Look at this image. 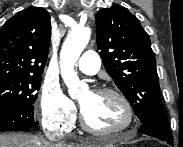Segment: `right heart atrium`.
Instances as JSON below:
<instances>
[{"label": "right heart atrium", "instance_id": "right-heart-atrium-1", "mask_svg": "<svg viewBox=\"0 0 183 147\" xmlns=\"http://www.w3.org/2000/svg\"><path fill=\"white\" fill-rule=\"evenodd\" d=\"M39 108L42 122L49 130L66 133L75 122L76 108L73 102L54 81H46L42 85Z\"/></svg>", "mask_w": 183, "mask_h": 147}]
</instances>
